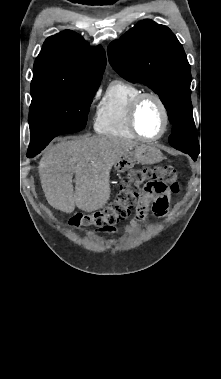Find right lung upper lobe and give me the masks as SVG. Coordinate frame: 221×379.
Segmentation results:
<instances>
[{
    "label": "right lung upper lobe",
    "instance_id": "obj_1",
    "mask_svg": "<svg viewBox=\"0 0 221 379\" xmlns=\"http://www.w3.org/2000/svg\"><path fill=\"white\" fill-rule=\"evenodd\" d=\"M106 66L101 46L91 47L65 30L46 39L34 62L31 95L78 86H98Z\"/></svg>",
    "mask_w": 221,
    "mask_h": 379
}]
</instances>
